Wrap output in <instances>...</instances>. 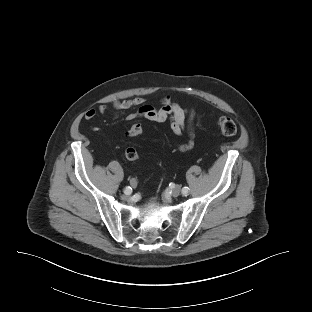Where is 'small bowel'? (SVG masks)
<instances>
[{
	"instance_id": "c3829d8e",
	"label": "small bowel",
	"mask_w": 312,
	"mask_h": 312,
	"mask_svg": "<svg viewBox=\"0 0 312 312\" xmlns=\"http://www.w3.org/2000/svg\"><path fill=\"white\" fill-rule=\"evenodd\" d=\"M137 108V110L127 116L128 121H133L137 118H144L153 122H164L170 120V127L174 134L182 135L187 133L188 140L179 145L180 150L187 151L193 147L194 133L192 130V120L194 110L192 108H183L175 102L171 96L165 95L160 99V107L156 108L146 103L143 97H135L131 99L117 100L107 105H101L98 111L89 109L84 113L86 120H92L97 113H105L111 110L114 114L120 111Z\"/></svg>"
}]
</instances>
